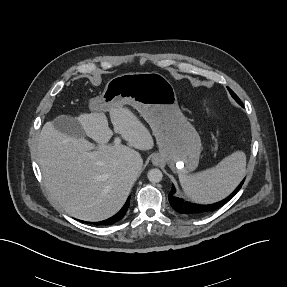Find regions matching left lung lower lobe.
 <instances>
[{"mask_svg":"<svg viewBox=\"0 0 287 287\" xmlns=\"http://www.w3.org/2000/svg\"><path fill=\"white\" fill-rule=\"evenodd\" d=\"M243 182L244 180L235 189V191L231 195H229L226 199L210 205H199L184 201L183 199L175 195L176 189L174 186H172V190L168 195L169 203L176 212H178L183 216H189V217L201 216L220 208L226 202H228L240 190L241 186L243 185Z\"/></svg>","mask_w":287,"mask_h":287,"instance_id":"0a47b994","label":"left lung lower lobe"}]
</instances>
